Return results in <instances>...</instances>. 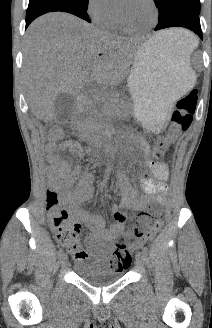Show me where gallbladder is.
I'll return each instance as SVG.
<instances>
[{
	"label": "gallbladder",
	"mask_w": 212,
	"mask_h": 328,
	"mask_svg": "<svg viewBox=\"0 0 212 328\" xmlns=\"http://www.w3.org/2000/svg\"><path fill=\"white\" fill-rule=\"evenodd\" d=\"M76 103V97L67 93L57 96L54 102L55 122L65 123L71 117L73 108Z\"/></svg>",
	"instance_id": "gallbladder-1"
}]
</instances>
